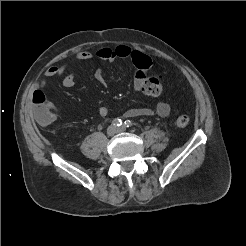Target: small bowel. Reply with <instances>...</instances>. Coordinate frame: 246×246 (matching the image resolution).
Listing matches in <instances>:
<instances>
[{"mask_svg": "<svg viewBox=\"0 0 246 246\" xmlns=\"http://www.w3.org/2000/svg\"><path fill=\"white\" fill-rule=\"evenodd\" d=\"M133 50L127 45H119L115 48H101L95 53L89 51L78 52L71 60V63L82 62L88 60H98V61H114L116 59H131V54ZM69 64L55 65L49 67L45 73L44 77L38 82L37 89L34 93H38L44 100V110L45 116L43 118L37 117L38 122L42 125H48L57 120L59 113L58 110L49 105L46 101V96L44 89L46 88L48 82L52 78H58L65 74ZM145 74L137 71L134 78V89L136 91H141L142 81ZM95 78L101 84H105V78L100 70L95 72ZM75 84L74 75L72 72L67 73L63 78V85L65 87H72ZM171 112V107L166 102H158L153 108H132L125 112L126 117H139V116H149L157 115L159 117H167ZM98 113L101 117H106L109 114V109L106 106H100Z\"/></svg>", "mask_w": 246, "mask_h": 246, "instance_id": "c3829d8e", "label": "small bowel"}]
</instances>
